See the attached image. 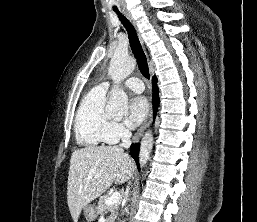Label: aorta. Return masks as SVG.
Returning <instances> with one entry per match:
<instances>
[{"label": "aorta", "mask_w": 257, "mask_h": 222, "mask_svg": "<svg viewBox=\"0 0 257 222\" xmlns=\"http://www.w3.org/2000/svg\"><path fill=\"white\" fill-rule=\"evenodd\" d=\"M135 62L126 52L116 51L112 57L108 69V74L113 80L111 96L106 106V111L112 115H123L128 110V96L120 83L126 79L134 70ZM153 147V135L150 131L146 132L142 138L139 160L142 167L147 163Z\"/></svg>", "instance_id": "1"}]
</instances>
